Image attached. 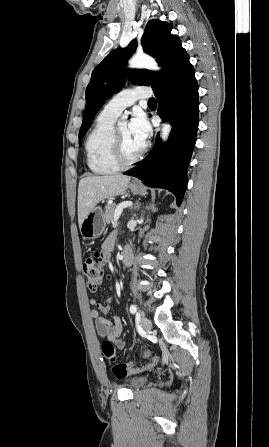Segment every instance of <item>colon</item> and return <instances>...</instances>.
Wrapping results in <instances>:
<instances>
[{"instance_id": "colon-1", "label": "colon", "mask_w": 269, "mask_h": 447, "mask_svg": "<svg viewBox=\"0 0 269 447\" xmlns=\"http://www.w3.org/2000/svg\"><path fill=\"white\" fill-rule=\"evenodd\" d=\"M105 266V256L102 251L93 252L82 263V273L90 292H96L103 280V268ZM102 352L109 362H115L117 358V351L115 347L109 343L104 342L101 346ZM158 362L157 359L152 358L143 362L135 363H116L112 368V374L116 379H123L133 373H139L151 369Z\"/></svg>"}]
</instances>
